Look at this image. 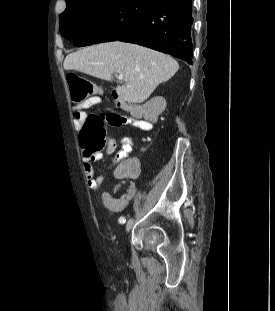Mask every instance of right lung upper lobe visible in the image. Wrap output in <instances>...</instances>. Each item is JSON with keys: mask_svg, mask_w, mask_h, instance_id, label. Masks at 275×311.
<instances>
[{"mask_svg": "<svg viewBox=\"0 0 275 311\" xmlns=\"http://www.w3.org/2000/svg\"><path fill=\"white\" fill-rule=\"evenodd\" d=\"M74 1H82V0H66V3L74 2Z\"/></svg>", "mask_w": 275, "mask_h": 311, "instance_id": "right-lung-upper-lobe-1", "label": "right lung upper lobe"}]
</instances>
